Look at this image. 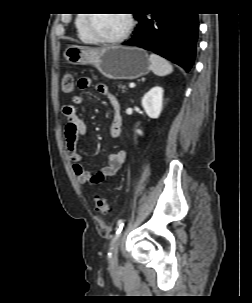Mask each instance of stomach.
<instances>
[{
  "label": "stomach",
  "instance_id": "stomach-1",
  "mask_svg": "<svg viewBox=\"0 0 252 303\" xmlns=\"http://www.w3.org/2000/svg\"><path fill=\"white\" fill-rule=\"evenodd\" d=\"M64 57L69 64L94 65L103 76L113 80L137 79L152 69L148 54L138 47L70 45L65 49Z\"/></svg>",
  "mask_w": 252,
  "mask_h": 303
}]
</instances>
